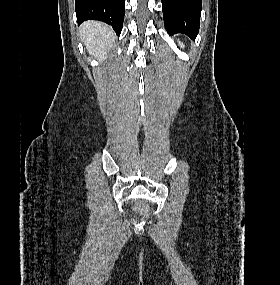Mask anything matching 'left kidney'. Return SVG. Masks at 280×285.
<instances>
[{
  "label": "left kidney",
  "instance_id": "5707ae66",
  "mask_svg": "<svg viewBox=\"0 0 280 285\" xmlns=\"http://www.w3.org/2000/svg\"><path fill=\"white\" fill-rule=\"evenodd\" d=\"M179 44H180V46H181V47H184V45H183V44H181V43H179Z\"/></svg>",
  "mask_w": 280,
  "mask_h": 285
}]
</instances>
